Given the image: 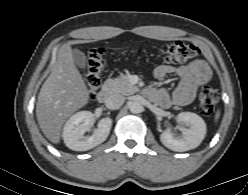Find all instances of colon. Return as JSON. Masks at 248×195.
<instances>
[{
  "label": "colon",
  "mask_w": 248,
  "mask_h": 195,
  "mask_svg": "<svg viewBox=\"0 0 248 195\" xmlns=\"http://www.w3.org/2000/svg\"><path fill=\"white\" fill-rule=\"evenodd\" d=\"M107 50L102 47L90 50L84 70V79L88 93L93 96L101 85V76L106 66ZM199 49L194 44L177 40L164 44L160 49L163 62L169 64L184 63L195 58ZM218 92L211 87H203L199 93V108L203 115L210 116L218 103Z\"/></svg>",
  "instance_id": "1"
}]
</instances>
